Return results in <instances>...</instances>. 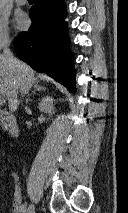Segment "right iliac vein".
Returning <instances> with one entry per match:
<instances>
[{"mask_svg": "<svg viewBox=\"0 0 128 213\" xmlns=\"http://www.w3.org/2000/svg\"><path fill=\"white\" fill-rule=\"evenodd\" d=\"M27 213H35V206L31 204L27 210Z\"/></svg>", "mask_w": 128, "mask_h": 213, "instance_id": "right-iliac-vein-1", "label": "right iliac vein"}]
</instances>
